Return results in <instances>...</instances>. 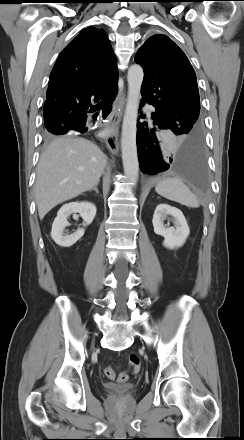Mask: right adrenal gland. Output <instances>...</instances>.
<instances>
[{
    "label": "right adrenal gland",
    "mask_w": 244,
    "mask_h": 440,
    "mask_svg": "<svg viewBox=\"0 0 244 440\" xmlns=\"http://www.w3.org/2000/svg\"><path fill=\"white\" fill-rule=\"evenodd\" d=\"M92 190H94L97 194H99L98 183L90 191H92Z\"/></svg>",
    "instance_id": "right-adrenal-gland-1"
}]
</instances>
